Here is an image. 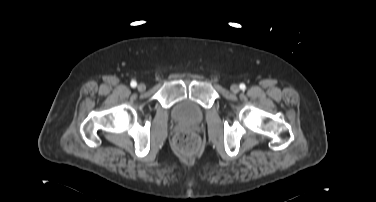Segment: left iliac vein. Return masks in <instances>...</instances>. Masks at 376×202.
Masks as SVG:
<instances>
[{"instance_id":"4c4485c4","label":"left iliac vein","mask_w":376,"mask_h":202,"mask_svg":"<svg viewBox=\"0 0 376 202\" xmlns=\"http://www.w3.org/2000/svg\"><path fill=\"white\" fill-rule=\"evenodd\" d=\"M230 89H231V91L233 92V93H238L239 92V86L237 85V84H233V85H231V87H230Z\"/></svg>"}]
</instances>
